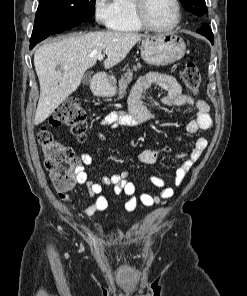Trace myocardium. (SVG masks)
I'll list each match as a JSON object with an SVG mask.
<instances>
[{
  "label": "myocardium",
  "mask_w": 247,
  "mask_h": 296,
  "mask_svg": "<svg viewBox=\"0 0 247 296\" xmlns=\"http://www.w3.org/2000/svg\"><path fill=\"white\" fill-rule=\"evenodd\" d=\"M147 2V0H133V11L135 19L143 29L156 33H166L174 30L179 25L181 21V5L179 0H172V3L175 8V18L172 24L163 28L153 26L148 21L146 16Z\"/></svg>",
  "instance_id": "1"
}]
</instances>
